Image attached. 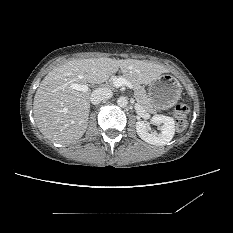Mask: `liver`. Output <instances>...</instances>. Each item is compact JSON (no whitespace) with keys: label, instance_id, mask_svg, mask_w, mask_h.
<instances>
[{"label":"liver","instance_id":"1","mask_svg":"<svg viewBox=\"0 0 233 233\" xmlns=\"http://www.w3.org/2000/svg\"><path fill=\"white\" fill-rule=\"evenodd\" d=\"M119 69L138 84H149L168 72L162 65L136 59L88 58L58 66L45 76L34 96L33 113L40 132L62 144L81 138L88 125L91 92L74 90L70 84L102 83Z\"/></svg>","mask_w":233,"mask_h":233}]
</instances>
